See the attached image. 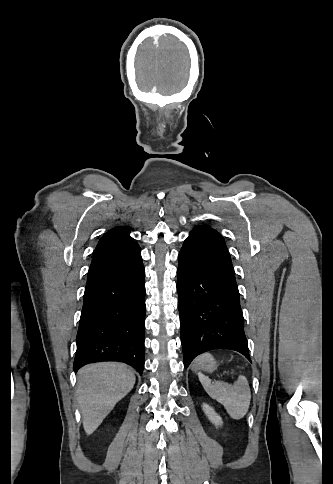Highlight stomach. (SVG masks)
Instances as JSON below:
<instances>
[{
    "label": "stomach",
    "instance_id": "0dacf381",
    "mask_svg": "<svg viewBox=\"0 0 333 484\" xmlns=\"http://www.w3.org/2000/svg\"><path fill=\"white\" fill-rule=\"evenodd\" d=\"M217 368L215 359L208 353H205L195 359L192 369L194 371L203 370L205 372H213Z\"/></svg>",
    "mask_w": 333,
    "mask_h": 484
}]
</instances>
